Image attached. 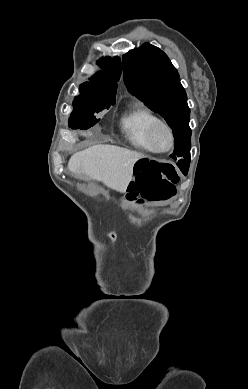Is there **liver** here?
Instances as JSON below:
<instances>
[{
	"label": "liver",
	"instance_id": "liver-1",
	"mask_svg": "<svg viewBox=\"0 0 248 389\" xmlns=\"http://www.w3.org/2000/svg\"><path fill=\"white\" fill-rule=\"evenodd\" d=\"M144 157L115 145H94L73 154L68 169L79 178L89 177L113 190L125 192L133 177L134 164Z\"/></svg>",
	"mask_w": 248,
	"mask_h": 389
}]
</instances>
